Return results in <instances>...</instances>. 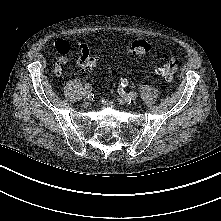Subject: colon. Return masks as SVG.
<instances>
[{"label":"colon","instance_id":"colon-1","mask_svg":"<svg viewBox=\"0 0 221 221\" xmlns=\"http://www.w3.org/2000/svg\"><path fill=\"white\" fill-rule=\"evenodd\" d=\"M151 46L144 40H135L129 44L128 51L131 55L138 57L147 54ZM98 63V57L92 56L89 52L80 57V65L84 70H92ZM178 60L174 57H165L163 64L158 68V74L166 79H171L178 70Z\"/></svg>","mask_w":221,"mask_h":221}]
</instances>
